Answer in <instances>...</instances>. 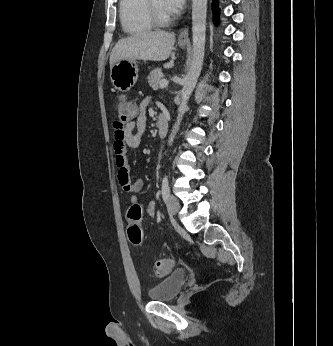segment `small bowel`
Here are the masks:
<instances>
[{
    "mask_svg": "<svg viewBox=\"0 0 333 346\" xmlns=\"http://www.w3.org/2000/svg\"><path fill=\"white\" fill-rule=\"evenodd\" d=\"M148 102V99H144L140 103L136 118L128 121L124 125L119 121L114 124L115 161L118 166L117 178L121 187L132 194V205L138 204L137 194L142 190L143 182L138 178H132L130 175L127 149L137 148L141 143L142 135L146 129V108ZM134 129H136L135 133L133 132ZM156 211L157 205L155 202H150L145 209L148 216H154Z\"/></svg>",
    "mask_w": 333,
    "mask_h": 346,
    "instance_id": "obj_1",
    "label": "small bowel"
}]
</instances>
